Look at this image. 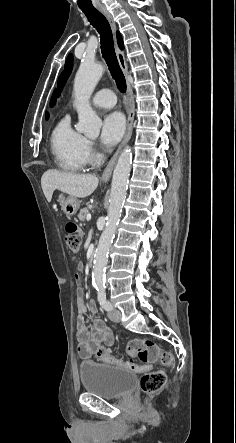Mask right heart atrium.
<instances>
[{
  "label": "right heart atrium",
  "instance_id": "right-heart-atrium-1",
  "mask_svg": "<svg viewBox=\"0 0 236 443\" xmlns=\"http://www.w3.org/2000/svg\"><path fill=\"white\" fill-rule=\"evenodd\" d=\"M84 153H85V157H86L87 162H90L94 159L95 149H94V144L92 141L86 140L85 147H84Z\"/></svg>",
  "mask_w": 236,
  "mask_h": 443
}]
</instances>
